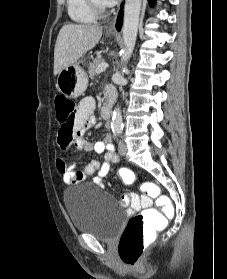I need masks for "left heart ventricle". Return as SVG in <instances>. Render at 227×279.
Returning a JSON list of instances; mask_svg holds the SVG:
<instances>
[{"label":"left heart ventricle","mask_w":227,"mask_h":279,"mask_svg":"<svg viewBox=\"0 0 227 279\" xmlns=\"http://www.w3.org/2000/svg\"><path fill=\"white\" fill-rule=\"evenodd\" d=\"M96 2L99 4V5H102V6H105L102 2V0H96Z\"/></svg>","instance_id":"b2bd125f"}]
</instances>
